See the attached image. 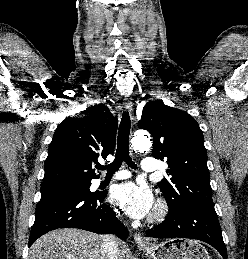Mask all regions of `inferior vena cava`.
Listing matches in <instances>:
<instances>
[{
	"mask_svg": "<svg viewBox=\"0 0 248 259\" xmlns=\"http://www.w3.org/2000/svg\"><path fill=\"white\" fill-rule=\"evenodd\" d=\"M117 239L114 235L104 236L102 259H117Z\"/></svg>",
	"mask_w": 248,
	"mask_h": 259,
	"instance_id": "obj_1",
	"label": "inferior vena cava"
}]
</instances>
